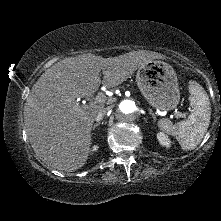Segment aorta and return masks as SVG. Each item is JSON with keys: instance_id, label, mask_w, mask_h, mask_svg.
I'll list each match as a JSON object with an SVG mask.
<instances>
[{"instance_id": "762f6f07", "label": "aorta", "mask_w": 221, "mask_h": 221, "mask_svg": "<svg viewBox=\"0 0 221 221\" xmlns=\"http://www.w3.org/2000/svg\"><path fill=\"white\" fill-rule=\"evenodd\" d=\"M116 119L121 123H130L134 121L138 115V108L133 100H122L116 110Z\"/></svg>"}]
</instances>
